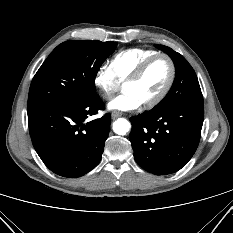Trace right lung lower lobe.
I'll return each instance as SVG.
<instances>
[{
    "label": "right lung lower lobe",
    "mask_w": 233,
    "mask_h": 233,
    "mask_svg": "<svg viewBox=\"0 0 233 233\" xmlns=\"http://www.w3.org/2000/svg\"><path fill=\"white\" fill-rule=\"evenodd\" d=\"M104 109L97 93L71 103L28 108L29 132L33 146L54 173L79 177L101 160L109 134L111 115L85 120Z\"/></svg>",
    "instance_id": "right-lung-lower-lobe-1"
}]
</instances>
